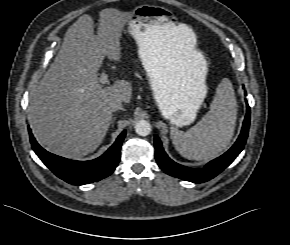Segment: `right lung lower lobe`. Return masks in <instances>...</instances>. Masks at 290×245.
Masks as SVG:
<instances>
[{"mask_svg": "<svg viewBox=\"0 0 290 245\" xmlns=\"http://www.w3.org/2000/svg\"><path fill=\"white\" fill-rule=\"evenodd\" d=\"M125 135L126 130L99 158L90 161H75L54 155L43 149L29 130L34 152L56 176L73 185L96 182L112 174L119 163L120 149Z\"/></svg>", "mask_w": 290, "mask_h": 245, "instance_id": "obj_1", "label": "right lung lower lobe"}]
</instances>
